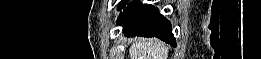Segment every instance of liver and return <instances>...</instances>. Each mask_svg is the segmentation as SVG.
Listing matches in <instances>:
<instances>
[{
  "label": "liver",
  "mask_w": 261,
  "mask_h": 59,
  "mask_svg": "<svg viewBox=\"0 0 261 59\" xmlns=\"http://www.w3.org/2000/svg\"><path fill=\"white\" fill-rule=\"evenodd\" d=\"M131 59H167L168 47L156 39L135 40L129 49Z\"/></svg>",
  "instance_id": "6515ba94"
}]
</instances>
